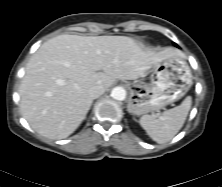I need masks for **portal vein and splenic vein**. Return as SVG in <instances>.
<instances>
[{
    "mask_svg": "<svg viewBox=\"0 0 222 187\" xmlns=\"http://www.w3.org/2000/svg\"><path fill=\"white\" fill-rule=\"evenodd\" d=\"M57 82H58L59 84H62V83H63V81H62V80H57Z\"/></svg>",
    "mask_w": 222,
    "mask_h": 187,
    "instance_id": "portal-vein-and-splenic-vein-1",
    "label": "portal vein and splenic vein"
}]
</instances>
